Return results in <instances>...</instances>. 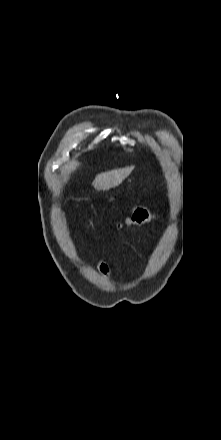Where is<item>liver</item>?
Wrapping results in <instances>:
<instances>
[{"instance_id":"liver-1","label":"liver","mask_w":221,"mask_h":440,"mask_svg":"<svg viewBox=\"0 0 221 440\" xmlns=\"http://www.w3.org/2000/svg\"><path fill=\"white\" fill-rule=\"evenodd\" d=\"M133 169L134 166H130L101 173L95 177L92 185L97 191L109 190L120 185L131 174Z\"/></svg>"}]
</instances>
